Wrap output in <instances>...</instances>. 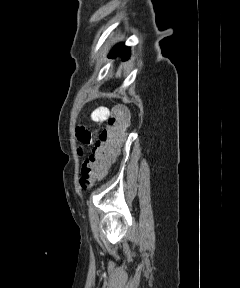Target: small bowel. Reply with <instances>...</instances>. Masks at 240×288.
<instances>
[{"instance_id":"c3829d8e","label":"small bowel","mask_w":240,"mask_h":288,"mask_svg":"<svg viewBox=\"0 0 240 288\" xmlns=\"http://www.w3.org/2000/svg\"><path fill=\"white\" fill-rule=\"evenodd\" d=\"M110 110L107 107L99 106L95 108L91 113V120L95 124H101L106 122L110 117ZM76 138L83 146H90L95 142V134L92 133L84 126H79L76 129Z\"/></svg>"}]
</instances>
